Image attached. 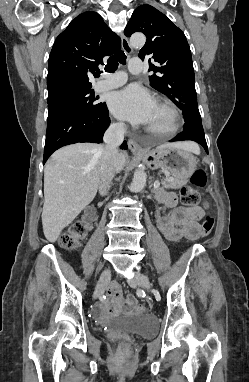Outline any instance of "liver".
Listing matches in <instances>:
<instances>
[{"instance_id":"6515ba94","label":"liver","mask_w":249,"mask_h":382,"mask_svg":"<svg viewBox=\"0 0 249 382\" xmlns=\"http://www.w3.org/2000/svg\"><path fill=\"white\" fill-rule=\"evenodd\" d=\"M196 154L198 146L192 142L171 144ZM127 155L120 153L121 171ZM104 152L101 145L76 143L58 149L44 169L43 232L54 243L67 227L96 196Z\"/></svg>"}]
</instances>
